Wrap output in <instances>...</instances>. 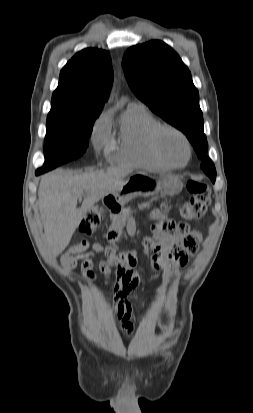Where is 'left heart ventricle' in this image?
Listing matches in <instances>:
<instances>
[{
  "label": "left heart ventricle",
  "instance_id": "1",
  "mask_svg": "<svg viewBox=\"0 0 253 413\" xmlns=\"http://www.w3.org/2000/svg\"><path fill=\"white\" fill-rule=\"evenodd\" d=\"M160 147L163 154L173 163L182 164L186 161L187 149L177 134L164 131L160 135Z\"/></svg>",
  "mask_w": 253,
  "mask_h": 413
}]
</instances>
